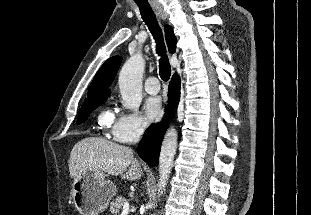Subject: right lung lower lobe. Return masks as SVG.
<instances>
[{
    "instance_id": "right-lung-lower-lobe-1",
    "label": "right lung lower lobe",
    "mask_w": 311,
    "mask_h": 215,
    "mask_svg": "<svg viewBox=\"0 0 311 215\" xmlns=\"http://www.w3.org/2000/svg\"><path fill=\"white\" fill-rule=\"evenodd\" d=\"M168 106L165 110L164 120L157 125L152 124L145 132L141 139L137 152L139 156L148 164L157 166L159 161V153L164 131L167 128L171 110L177 107L180 98V78L174 74L168 89Z\"/></svg>"
}]
</instances>
